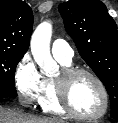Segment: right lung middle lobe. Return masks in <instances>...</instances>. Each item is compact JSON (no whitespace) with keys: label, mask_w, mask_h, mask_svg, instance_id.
Listing matches in <instances>:
<instances>
[{"label":"right lung middle lobe","mask_w":118,"mask_h":123,"mask_svg":"<svg viewBox=\"0 0 118 123\" xmlns=\"http://www.w3.org/2000/svg\"><path fill=\"white\" fill-rule=\"evenodd\" d=\"M23 55L0 51V95L16 97L14 75Z\"/></svg>","instance_id":"dd1d6c3e"}]
</instances>
